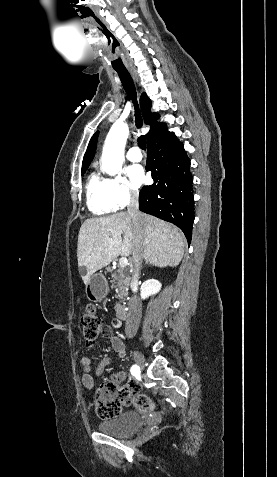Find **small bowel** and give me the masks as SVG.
Wrapping results in <instances>:
<instances>
[{"mask_svg":"<svg viewBox=\"0 0 277 477\" xmlns=\"http://www.w3.org/2000/svg\"><path fill=\"white\" fill-rule=\"evenodd\" d=\"M113 326L118 328L120 326V323L118 321H114ZM102 335L107 339V342L109 343V345L113 349L115 355L118 358H123L126 354L125 344L123 343V341L118 336H116L114 334L112 328L109 327V326H104L103 331H102ZM110 363H111L110 358L102 359L99 362V364L96 368V375L101 376L104 369ZM80 364H81L82 370H83V374H82V377H81L82 384L85 388L91 390L94 387V377L91 374V370H92L91 359L89 357H82L81 360H80ZM127 378H129V375L126 372H117V373H114L111 376V380L114 381L117 384L123 382ZM129 384H134L136 386V388L139 390V385L136 382L131 380V381H129Z\"/></svg>","mask_w":277,"mask_h":477,"instance_id":"1","label":"small bowel"}]
</instances>
